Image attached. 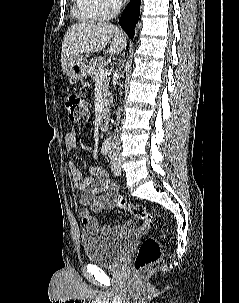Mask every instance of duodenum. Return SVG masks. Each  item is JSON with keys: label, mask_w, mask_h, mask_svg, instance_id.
I'll return each instance as SVG.
<instances>
[{"label": "duodenum", "mask_w": 239, "mask_h": 303, "mask_svg": "<svg viewBox=\"0 0 239 303\" xmlns=\"http://www.w3.org/2000/svg\"><path fill=\"white\" fill-rule=\"evenodd\" d=\"M109 121V114L107 111L100 113L98 118V125L101 130H107Z\"/></svg>", "instance_id": "duodenum-1"}]
</instances>
